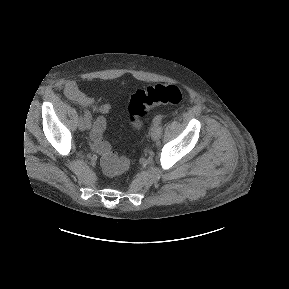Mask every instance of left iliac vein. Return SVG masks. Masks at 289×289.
<instances>
[{
  "label": "left iliac vein",
  "instance_id": "left-iliac-vein-1",
  "mask_svg": "<svg viewBox=\"0 0 289 289\" xmlns=\"http://www.w3.org/2000/svg\"><path fill=\"white\" fill-rule=\"evenodd\" d=\"M161 132H162V129H161L160 125H154L153 124L151 129H150L151 138L154 141L158 140L161 137Z\"/></svg>",
  "mask_w": 289,
  "mask_h": 289
}]
</instances>
